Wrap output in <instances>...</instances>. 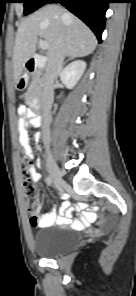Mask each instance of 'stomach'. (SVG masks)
Here are the masks:
<instances>
[{
  "label": "stomach",
  "mask_w": 136,
  "mask_h": 296,
  "mask_svg": "<svg viewBox=\"0 0 136 296\" xmlns=\"http://www.w3.org/2000/svg\"><path fill=\"white\" fill-rule=\"evenodd\" d=\"M26 86L25 85H16V90H25Z\"/></svg>",
  "instance_id": "0dacf381"
}]
</instances>
